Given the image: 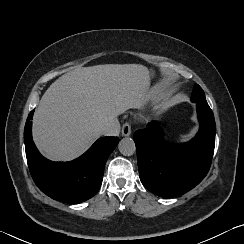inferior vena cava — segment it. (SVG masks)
<instances>
[{"label": "inferior vena cava", "instance_id": "602c4592", "mask_svg": "<svg viewBox=\"0 0 244 244\" xmlns=\"http://www.w3.org/2000/svg\"><path fill=\"white\" fill-rule=\"evenodd\" d=\"M119 127L112 121L105 122L100 127V132L102 135H114L118 132Z\"/></svg>", "mask_w": 244, "mask_h": 244}]
</instances>
